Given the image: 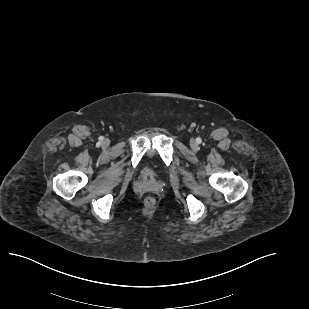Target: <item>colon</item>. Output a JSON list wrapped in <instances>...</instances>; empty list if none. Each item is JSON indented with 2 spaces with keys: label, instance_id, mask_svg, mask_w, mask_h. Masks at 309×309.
I'll list each match as a JSON object with an SVG mask.
<instances>
[{
  "label": "colon",
  "instance_id": "colon-1",
  "mask_svg": "<svg viewBox=\"0 0 309 309\" xmlns=\"http://www.w3.org/2000/svg\"><path fill=\"white\" fill-rule=\"evenodd\" d=\"M144 204H145L146 207L152 208V207L155 206L156 200H155V198H153V197H147V198L145 199V201H144Z\"/></svg>",
  "mask_w": 309,
  "mask_h": 309
}]
</instances>
